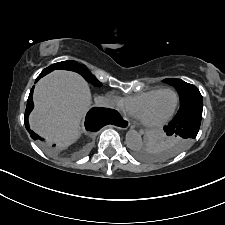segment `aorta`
<instances>
[{
	"mask_svg": "<svg viewBox=\"0 0 225 225\" xmlns=\"http://www.w3.org/2000/svg\"><path fill=\"white\" fill-rule=\"evenodd\" d=\"M128 148L137 150L142 146V138L137 131H128L125 138Z\"/></svg>",
	"mask_w": 225,
	"mask_h": 225,
	"instance_id": "762f6f07",
	"label": "aorta"
}]
</instances>
